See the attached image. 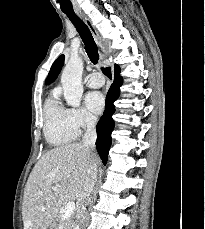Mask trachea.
<instances>
[{
    "label": "trachea",
    "mask_w": 205,
    "mask_h": 229,
    "mask_svg": "<svg viewBox=\"0 0 205 229\" xmlns=\"http://www.w3.org/2000/svg\"><path fill=\"white\" fill-rule=\"evenodd\" d=\"M66 15L70 19V21L74 24L82 41L84 42L88 57L90 58L92 63L97 64L99 60V54L96 47V43L93 39V36L88 26L77 15H69V14ZM102 71L108 78L112 77L110 67L102 68Z\"/></svg>",
    "instance_id": "obj_1"
}]
</instances>
